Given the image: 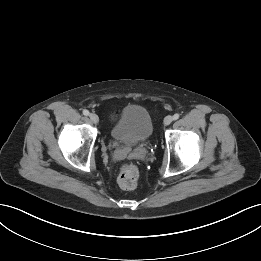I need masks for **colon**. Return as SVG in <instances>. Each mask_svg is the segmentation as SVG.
I'll use <instances>...</instances> for the list:
<instances>
[{"label": "colon", "instance_id": "colon-1", "mask_svg": "<svg viewBox=\"0 0 261 261\" xmlns=\"http://www.w3.org/2000/svg\"><path fill=\"white\" fill-rule=\"evenodd\" d=\"M139 178L138 168L133 164H124L119 171L118 183L124 189L136 187Z\"/></svg>", "mask_w": 261, "mask_h": 261}]
</instances>
